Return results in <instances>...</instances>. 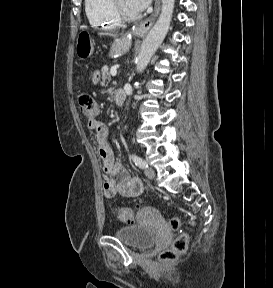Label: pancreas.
<instances>
[{
    "label": "pancreas",
    "mask_w": 273,
    "mask_h": 288,
    "mask_svg": "<svg viewBox=\"0 0 273 288\" xmlns=\"http://www.w3.org/2000/svg\"><path fill=\"white\" fill-rule=\"evenodd\" d=\"M106 80H108V82L111 81V77H110V73L108 71V69L104 68L102 69V81H101V85H105Z\"/></svg>",
    "instance_id": "obj_1"
}]
</instances>
